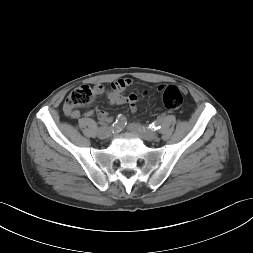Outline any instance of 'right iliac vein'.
<instances>
[{
	"instance_id": "1",
	"label": "right iliac vein",
	"mask_w": 253,
	"mask_h": 253,
	"mask_svg": "<svg viewBox=\"0 0 253 253\" xmlns=\"http://www.w3.org/2000/svg\"><path fill=\"white\" fill-rule=\"evenodd\" d=\"M112 129L110 127H102L98 131V137L100 139H107L110 137Z\"/></svg>"
}]
</instances>
